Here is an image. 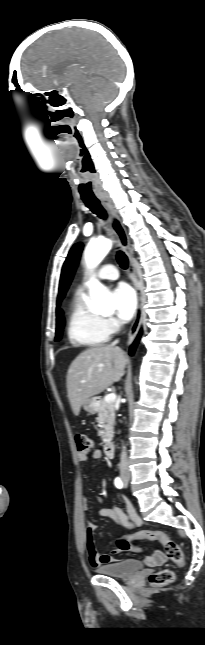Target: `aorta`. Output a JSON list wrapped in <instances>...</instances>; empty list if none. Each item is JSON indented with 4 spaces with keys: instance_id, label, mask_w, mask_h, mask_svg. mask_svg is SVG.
<instances>
[{
    "instance_id": "aorta-1",
    "label": "aorta",
    "mask_w": 205,
    "mask_h": 645,
    "mask_svg": "<svg viewBox=\"0 0 205 645\" xmlns=\"http://www.w3.org/2000/svg\"><path fill=\"white\" fill-rule=\"evenodd\" d=\"M111 247L112 243L109 239H98L89 242L85 249V262L87 267H96L107 255ZM89 287L94 311L101 313L114 309L115 304L109 291L100 282L92 280Z\"/></svg>"
}]
</instances>
